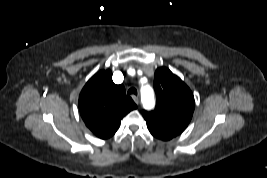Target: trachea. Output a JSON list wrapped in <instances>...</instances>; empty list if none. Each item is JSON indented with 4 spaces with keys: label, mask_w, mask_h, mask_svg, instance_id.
Returning <instances> with one entry per match:
<instances>
[{
    "label": "trachea",
    "mask_w": 267,
    "mask_h": 178,
    "mask_svg": "<svg viewBox=\"0 0 267 178\" xmlns=\"http://www.w3.org/2000/svg\"><path fill=\"white\" fill-rule=\"evenodd\" d=\"M128 95H137V90L135 88H130L127 92Z\"/></svg>",
    "instance_id": "obj_1"
}]
</instances>
